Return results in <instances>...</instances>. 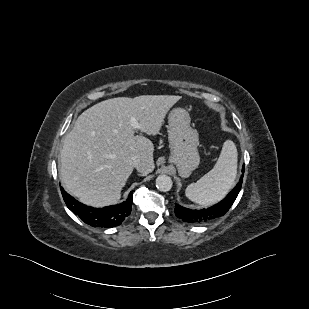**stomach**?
I'll list each match as a JSON object with an SVG mask.
<instances>
[{
  "mask_svg": "<svg viewBox=\"0 0 309 309\" xmlns=\"http://www.w3.org/2000/svg\"><path fill=\"white\" fill-rule=\"evenodd\" d=\"M190 121L188 111L183 108L173 109L168 116L169 161L176 165L181 177H188L200 163L199 137Z\"/></svg>",
  "mask_w": 309,
  "mask_h": 309,
  "instance_id": "stomach-1",
  "label": "stomach"
}]
</instances>
